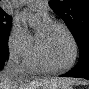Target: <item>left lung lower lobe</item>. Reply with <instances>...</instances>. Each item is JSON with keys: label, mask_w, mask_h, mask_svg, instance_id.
Wrapping results in <instances>:
<instances>
[{"label": "left lung lower lobe", "mask_w": 89, "mask_h": 89, "mask_svg": "<svg viewBox=\"0 0 89 89\" xmlns=\"http://www.w3.org/2000/svg\"><path fill=\"white\" fill-rule=\"evenodd\" d=\"M80 50V57L77 65L62 76L80 77L89 80V42L84 44Z\"/></svg>", "instance_id": "left-lung-lower-lobe-1"}]
</instances>
